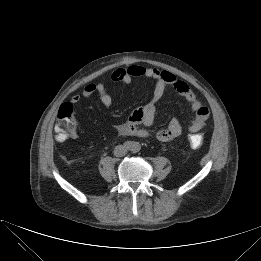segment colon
<instances>
[{
    "instance_id": "1",
    "label": "colon",
    "mask_w": 261,
    "mask_h": 261,
    "mask_svg": "<svg viewBox=\"0 0 261 261\" xmlns=\"http://www.w3.org/2000/svg\"><path fill=\"white\" fill-rule=\"evenodd\" d=\"M77 127V120L74 114L73 106L70 103H64L60 106L57 113V122L55 125L56 138L60 141L67 139L72 135ZM204 137L201 133H191L187 142L191 149H199L203 145Z\"/></svg>"
}]
</instances>
